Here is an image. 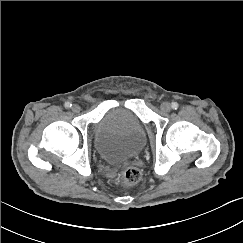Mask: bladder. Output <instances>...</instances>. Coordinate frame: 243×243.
I'll list each match as a JSON object with an SVG mask.
<instances>
[{
	"label": "bladder",
	"instance_id": "bladder-1",
	"mask_svg": "<svg viewBox=\"0 0 243 243\" xmlns=\"http://www.w3.org/2000/svg\"><path fill=\"white\" fill-rule=\"evenodd\" d=\"M94 145L106 161H126L145 147L144 126L128 107L109 106L96 125Z\"/></svg>",
	"mask_w": 243,
	"mask_h": 243
}]
</instances>
